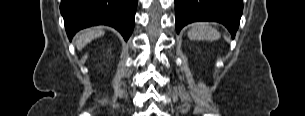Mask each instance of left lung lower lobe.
Returning <instances> with one entry per match:
<instances>
[{
	"label": "left lung lower lobe",
	"mask_w": 305,
	"mask_h": 116,
	"mask_svg": "<svg viewBox=\"0 0 305 116\" xmlns=\"http://www.w3.org/2000/svg\"><path fill=\"white\" fill-rule=\"evenodd\" d=\"M176 31L195 21H215L227 27L232 37L238 29L242 0H174Z\"/></svg>",
	"instance_id": "left-lung-lower-lobe-1"
}]
</instances>
